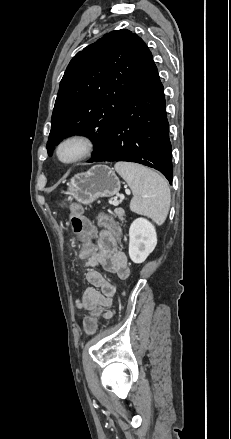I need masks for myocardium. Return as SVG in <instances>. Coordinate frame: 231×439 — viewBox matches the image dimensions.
<instances>
[{"instance_id":"f54148a6","label":"myocardium","mask_w":231,"mask_h":439,"mask_svg":"<svg viewBox=\"0 0 231 439\" xmlns=\"http://www.w3.org/2000/svg\"><path fill=\"white\" fill-rule=\"evenodd\" d=\"M77 143L81 146V151L75 157L65 160L61 157V150L68 144ZM95 150L94 140L84 133H72L63 137L55 147V158L62 165H73L79 163L92 155Z\"/></svg>"}]
</instances>
